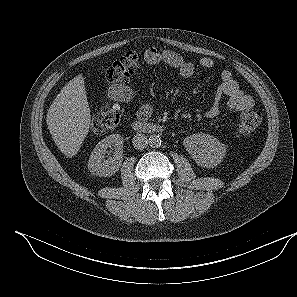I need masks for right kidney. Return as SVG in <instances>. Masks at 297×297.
<instances>
[{
	"label": "right kidney",
	"mask_w": 297,
	"mask_h": 297,
	"mask_svg": "<svg viewBox=\"0 0 297 297\" xmlns=\"http://www.w3.org/2000/svg\"><path fill=\"white\" fill-rule=\"evenodd\" d=\"M123 137L112 134L101 141L93 149L88 160V169L97 176L107 177L115 174L123 160ZM114 148L113 155L105 158L108 148Z\"/></svg>",
	"instance_id": "obj_1"
}]
</instances>
